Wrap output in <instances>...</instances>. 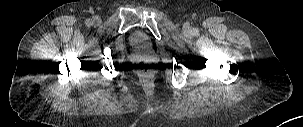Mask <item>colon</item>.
I'll list each match as a JSON object with an SVG mask.
<instances>
[{
	"label": "colon",
	"mask_w": 303,
	"mask_h": 127,
	"mask_svg": "<svg viewBox=\"0 0 303 127\" xmlns=\"http://www.w3.org/2000/svg\"><path fill=\"white\" fill-rule=\"evenodd\" d=\"M141 68L145 73L148 72V66L146 64H142Z\"/></svg>",
	"instance_id": "colon-1"
}]
</instances>
